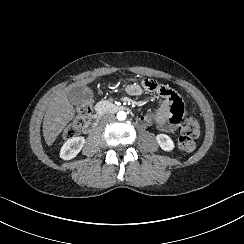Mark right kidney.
Instances as JSON below:
<instances>
[{
	"label": "right kidney",
	"instance_id": "obj_1",
	"mask_svg": "<svg viewBox=\"0 0 244 244\" xmlns=\"http://www.w3.org/2000/svg\"><path fill=\"white\" fill-rule=\"evenodd\" d=\"M85 143L84 137H73L68 139L61 148L60 157L63 160H70L81 151Z\"/></svg>",
	"mask_w": 244,
	"mask_h": 244
}]
</instances>
